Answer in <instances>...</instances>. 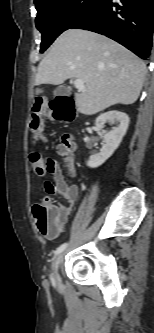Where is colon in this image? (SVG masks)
I'll use <instances>...</instances> for the list:
<instances>
[{"mask_svg":"<svg viewBox=\"0 0 154 333\" xmlns=\"http://www.w3.org/2000/svg\"><path fill=\"white\" fill-rule=\"evenodd\" d=\"M44 107V101L41 98H36L32 107L33 114L30 128L36 134L37 138H39L42 132ZM29 160L31 170L34 173L43 175L47 172L46 159L38 152H31ZM33 215L39 231L45 236L54 237L62 228L66 212L64 208L54 204L50 199L45 198L33 206Z\"/></svg>","mask_w":154,"mask_h":333,"instance_id":"5ec220e1","label":"colon"}]
</instances>
